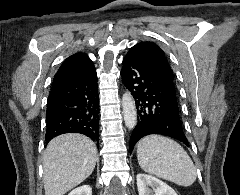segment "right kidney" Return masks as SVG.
Returning a JSON list of instances; mask_svg holds the SVG:
<instances>
[{
	"instance_id": "right-kidney-1",
	"label": "right kidney",
	"mask_w": 240,
	"mask_h": 195,
	"mask_svg": "<svg viewBox=\"0 0 240 195\" xmlns=\"http://www.w3.org/2000/svg\"><path fill=\"white\" fill-rule=\"evenodd\" d=\"M68 195H92V187L91 185H80V187L72 189Z\"/></svg>"
}]
</instances>
